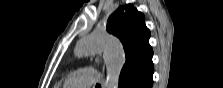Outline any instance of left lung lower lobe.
I'll return each instance as SVG.
<instances>
[{"instance_id": "0a47b994", "label": "left lung lower lobe", "mask_w": 223, "mask_h": 88, "mask_svg": "<svg viewBox=\"0 0 223 88\" xmlns=\"http://www.w3.org/2000/svg\"><path fill=\"white\" fill-rule=\"evenodd\" d=\"M154 67L152 61L141 70H133L119 79V88H151Z\"/></svg>"}]
</instances>
